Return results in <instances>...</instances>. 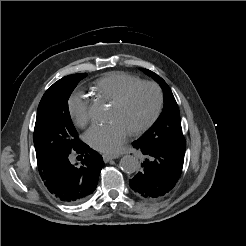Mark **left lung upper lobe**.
Masks as SVG:
<instances>
[{
  "label": "left lung upper lobe",
  "instance_id": "left-lung-upper-lobe-1",
  "mask_svg": "<svg viewBox=\"0 0 246 246\" xmlns=\"http://www.w3.org/2000/svg\"><path fill=\"white\" fill-rule=\"evenodd\" d=\"M144 72L160 84L164 93V107L151 129L137 141L146 145H166L185 148L186 142L182 133L180 113L170 87L154 72L147 69Z\"/></svg>",
  "mask_w": 246,
  "mask_h": 246
}]
</instances>
